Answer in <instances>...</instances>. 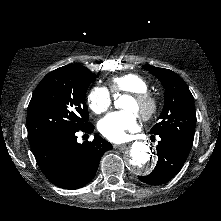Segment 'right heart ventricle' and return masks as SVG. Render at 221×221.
I'll return each instance as SVG.
<instances>
[{"mask_svg":"<svg viewBox=\"0 0 221 221\" xmlns=\"http://www.w3.org/2000/svg\"><path fill=\"white\" fill-rule=\"evenodd\" d=\"M109 86L111 91L115 94L121 92H147L149 88L147 81L142 76L135 73L115 76L110 79Z\"/></svg>","mask_w":221,"mask_h":221,"instance_id":"1","label":"right heart ventricle"}]
</instances>
